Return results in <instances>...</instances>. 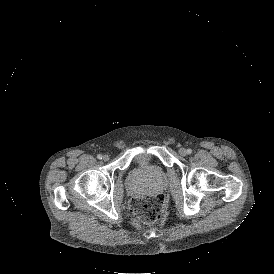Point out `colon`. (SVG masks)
<instances>
[{"mask_svg":"<svg viewBox=\"0 0 274 274\" xmlns=\"http://www.w3.org/2000/svg\"><path fill=\"white\" fill-rule=\"evenodd\" d=\"M167 201L161 192H154L151 196H134L130 203V210L135 220L143 223H158L166 216Z\"/></svg>","mask_w":274,"mask_h":274,"instance_id":"colon-1","label":"colon"}]
</instances>
